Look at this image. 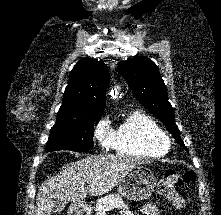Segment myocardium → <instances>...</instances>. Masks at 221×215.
Segmentation results:
<instances>
[{"label": "myocardium", "mask_w": 221, "mask_h": 215, "mask_svg": "<svg viewBox=\"0 0 221 215\" xmlns=\"http://www.w3.org/2000/svg\"><path fill=\"white\" fill-rule=\"evenodd\" d=\"M153 143L160 149L167 151L171 146L170 137L163 131L154 134Z\"/></svg>", "instance_id": "f54148a6"}]
</instances>
